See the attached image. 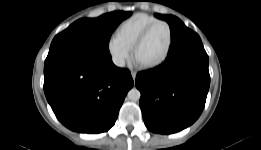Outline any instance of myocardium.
Segmentation results:
<instances>
[{
    "instance_id": "myocardium-1",
    "label": "myocardium",
    "mask_w": 261,
    "mask_h": 150,
    "mask_svg": "<svg viewBox=\"0 0 261 150\" xmlns=\"http://www.w3.org/2000/svg\"><path fill=\"white\" fill-rule=\"evenodd\" d=\"M157 25H164L168 29V34H169L168 48H167L166 53L160 60H158L154 63H151V64H147V65L141 64L144 68H147V69H154V68H157V67H160L161 65H163L168 60V58L171 54V51H172V47H173V30H172L171 25L164 20H157V21H154L151 24H149L137 37V39L134 42L133 47H132L133 56L136 58V54H137L139 47L146 40V38L148 37V35L152 31V29L154 27H156Z\"/></svg>"
}]
</instances>
